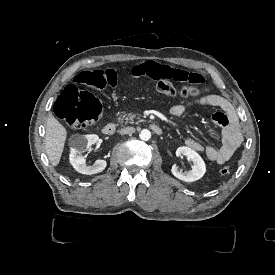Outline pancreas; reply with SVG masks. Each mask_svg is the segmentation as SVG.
<instances>
[{"mask_svg":"<svg viewBox=\"0 0 275 275\" xmlns=\"http://www.w3.org/2000/svg\"><path fill=\"white\" fill-rule=\"evenodd\" d=\"M134 119H139L138 114L122 112V114L118 118V121L127 122V121H133ZM139 121L143 122L144 120H139ZM131 123L133 124L134 122H131Z\"/></svg>","mask_w":275,"mask_h":275,"instance_id":"pancreas-1","label":"pancreas"}]
</instances>
